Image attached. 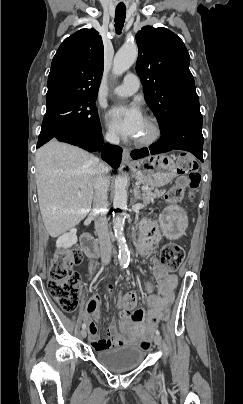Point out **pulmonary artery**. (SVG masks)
Segmentation results:
<instances>
[{"label":"pulmonary artery","instance_id":"obj_1","mask_svg":"<svg viewBox=\"0 0 243 404\" xmlns=\"http://www.w3.org/2000/svg\"><path fill=\"white\" fill-rule=\"evenodd\" d=\"M125 51H119L117 53V65H121L123 63L122 56ZM140 88V78L134 73H128L124 76L122 83L117 86L114 90L115 94L118 96H130L136 93Z\"/></svg>","mask_w":243,"mask_h":404}]
</instances>
